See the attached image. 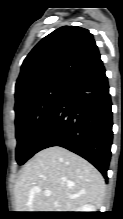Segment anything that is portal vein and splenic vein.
Returning a JSON list of instances; mask_svg holds the SVG:
<instances>
[{
  "mask_svg": "<svg viewBox=\"0 0 123 219\" xmlns=\"http://www.w3.org/2000/svg\"><path fill=\"white\" fill-rule=\"evenodd\" d=\"M44 194H45L46 196H50V195H51V192L48 191V190H46V191L44 192Z\"/></svg>",
  "mask_w": 123,
  "mask_h": 219,
  "instance_id": "portal-vein-and-splenic-vein-1",
  "label": "portal vein and splenic vein"
}]
</instances>
